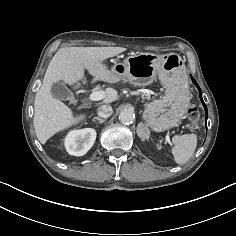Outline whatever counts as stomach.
<instances>
[{"label": "stomach", "instance_id": "obj_1", "mask_svg": "<svg viewBox=\"0 0 236 236\" xmlns=\"http://www.w3.org/2000/svg\"><path fill=\"white\" fill-rule=\"evenodd\" d=\"M111 71L118 80L146 86L157 76L166 86L165 96L145 106L143 119L147 127L162 132L174 127L184 116L190 96L182 60L175 54L132 53L123 63H116Z\"/></svg>", "mask_w": 236, "mask_h": 236}]
</instances>
